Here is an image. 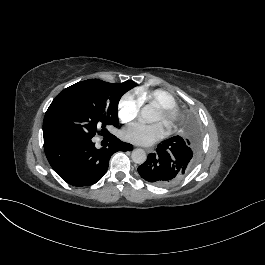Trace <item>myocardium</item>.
I'll use <instances>...</instances> for the list:
<instances>
[{
	"instance_id": "myocardium-1",
	"label": "myocardium",
	"mask_w": 265,
	"mask_h": 265,
	"mask_svg": "<svg viewBox=\"0 0 265 265\" xmlns=\"http://www.w3.org/2000/svg\"><path fill=\"white\" fill-rule=\"evenodd\" d=\"M162 115V121L168 128H172L179 119V110L176 106H162L157 109Z\"/></svg>"
}]
</instances>
